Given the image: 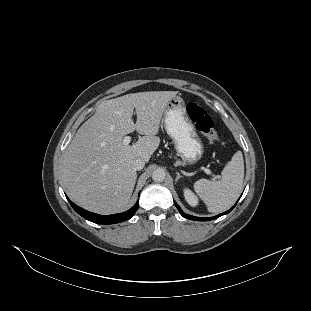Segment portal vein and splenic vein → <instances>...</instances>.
Returning <instances> with one entry per match:
<instances>
[{
  "label": "portal vein and splenic vein",
  "mask_w": 311,
  "mask_h": 311,
  "mask_svg": "<svg viewBox=\"0 0 311 311\" xmlns=\"http://www.w3.org/2000/svg\"><path fill=\"white\" fill-rule=\"evenodd\" d=\"M133 138H132V135H127L124 137L123 139V144L124 145H128L132 142ZM203 171L207 174V175H210L212 179H216L217 178V175L214 174L210 169H207V168H204Z\"/></svg>",
  "instance_id": "18ae733b"
}]
</instances>
